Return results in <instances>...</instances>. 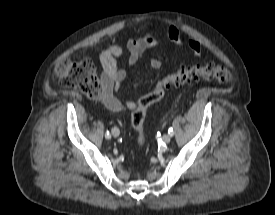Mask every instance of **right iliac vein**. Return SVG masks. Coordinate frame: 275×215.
Wrapping results in <instances>:
<instances>
[{
    "label": "right iliac vein",
    "mask_w": 275,
    "mask_h": 215,
    "mask_svg": "<svg viewBox=\"0 0 275 215\" xmlns=\"http://www.w3.org/2000/svg\"><path fill=\"white\" fill-rule=\"evenodd\" d=\"M112 135H113L114 137H118V136L120 135V131H119V129H118L117 127H114V128L112 129Z\"/></svg>",
    "instance_id": "right-iliac-vein-1"
}]
</instances>
